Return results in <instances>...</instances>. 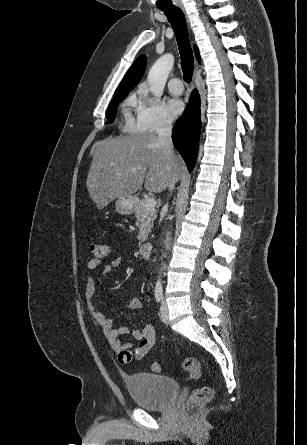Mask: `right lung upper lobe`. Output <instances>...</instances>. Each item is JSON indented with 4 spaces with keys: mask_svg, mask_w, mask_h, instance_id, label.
Segmentation results:
<instances>
[{
    "mask_svg": "<svg viewBox=\"0 0 307 445\" xmlns=\"http://www.w3.org/2000/svg\"><path fill=\"white\" fill-rule=\"evenodd\" d=\"M196 58L199 60V53L195 47ZM146 57L144 55L139 56L133 65L130 67L120 85L114 93V97L111 102L125 98L128 95V91L131 90L142 78L145 70ZM110 102V103H111Z\"/></svg>",
    "mask_w": 307,
    "mask_h": 445,
    "instance_id": "1",
    "label": "right lung upper lobe"
}]
</instances>
